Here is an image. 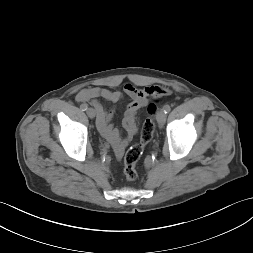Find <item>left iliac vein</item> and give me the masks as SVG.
<instances>
[{
    "label": "left iliac vein",
    "instance_id": "1",
    "mask_svg": "<svg viewBox=\"0 0 253 253\" xmlns=\"http://www.w3.org/2000/svg\"><path fill=\"white\" fill-rule=\"evenodd\" d=\"M156 119H157V122L160 125H162V124L165 123V121H166V114H165L164 110L161 109V110L158 111V113L156 115Z\"/></svg>",
    "mask_w": 253,
    "mask_h": 253
}]
</instances>
